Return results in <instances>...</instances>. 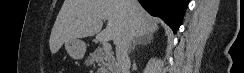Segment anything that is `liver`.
I'll return each instance as SVG.
<instances>
[{
	"label": "liver",
	"mask_w": 244,
	"mask_h": 73,
	"mask_svg": "<svg viewBox=\"0 0 244 73\" xmlns=\"http://www.w3.org/2000/svg\"><path fill=\"white\" fill-rule=\"evenodd\" d=\"M129 15L135 37L153 34L159 28L158 20L136 0H65L51 31L50 51L55 54L67 41L94 35L98 41L116 44ZM104 20L107 26L101 31Z\"/></svg>",
	"instance_id": "liver-1"
}]
</instances>
